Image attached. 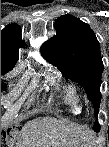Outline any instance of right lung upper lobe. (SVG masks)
<instances>
[{
	"instance_id": "cb5924a9",
	"label": "right lung upper lobe",
	"mask_w": 109,
	"mask_h": 147,
	"mask_svg": "<svg viewBox=\"0 0 109 147\" xmlns=\"http://www.w3.org/2000/svg\"><path fill=\"white\" fill-rule=\"evenodd\" d=\"M24 46L21 29L10 24L1 31V68H13L18 60V50Z\"/></svg>"
}]
</instances>
